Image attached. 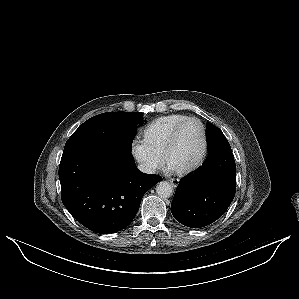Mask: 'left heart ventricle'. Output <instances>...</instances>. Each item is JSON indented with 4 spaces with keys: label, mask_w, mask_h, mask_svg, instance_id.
Instances as JSON below:
<instances>
[{
    "label": "left heart ventricle",
    "mask_w": 299,
    "mask_h": 299,
    "mask_svg": "<svg viewBox=\"0 0 299 299\" xmlns=\"http://www.w3.org/2000/svg\"><path fill=\"white\" fill-rule=\"evenodd\" d=\"M201 130L198 124L191 123L178 134L168 155V163L174 169H184L192 165L199 156Z\"/></svg>",
    "instance_id": "left-heart-ventricle-1"
}]
</instances>
